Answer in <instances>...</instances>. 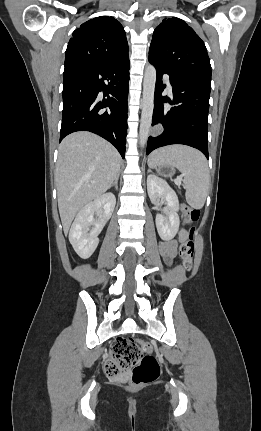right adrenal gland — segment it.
Returning <instances> with one entry per match:
<instances>
[{
    "label": "right adrenal gland",
    "mask_w": 261,
    "mask_h": 431,
    "mask_svg": "<svg viewBox=\"0 0 261 431\" xmlns=\"http://www.w3.org/2000/svg\"><path fill=\"white\" fill-rule=\"evenodd\" d=\"M118 180H119V174L117 175V177L115 178V181L112 183L111 187H115L116 190H118Z\"/></svg>",
    "instance_id": "obj_1"
}]
</instances>
